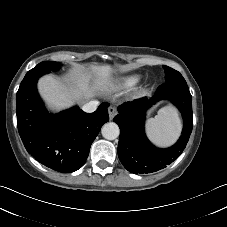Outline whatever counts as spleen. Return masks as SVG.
I'll list each match as a JSON object with an SVG mask.
<instances>
[{
    "mask_svg": "<svg viewBox=\"0 0 227 227\" xmlns=\"http://www.w3.org/2000/svg\"><path fill=\"white\" fill-rule=\"evenodd\" d=\"M146 130L154 144L160 147L172 145L181 132V120L177 110L171 106L161 108L154 118L148 119Z\"/></svg>",
    "mask_w": 227,
    "mask_h": 227,
    "instance_id": "spleen-1",
    "label": "spleen"
}]
</instances>
